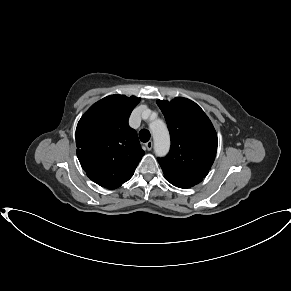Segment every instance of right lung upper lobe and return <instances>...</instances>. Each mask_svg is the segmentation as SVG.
<instances>
[{"instance_id":"cb5924a9","label":"right lung upper lobe","mask_w":291,"mask_h":291,"mask_svg":"<svg viewBox=\"0 0 291 291\" xmlns=\"http://www.w3.org/2000/svg\"><path fill=\"white\" fill-rule=\"evenodd\" d=\"M140 98L110 95L92 105L76 128L77 156L87 176L100 186L128 181L144 155L128 119Z\"/></svg>"}]
</instances>
